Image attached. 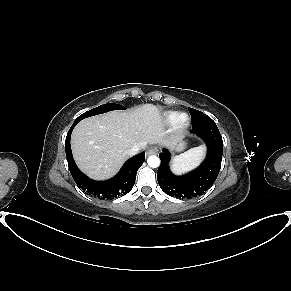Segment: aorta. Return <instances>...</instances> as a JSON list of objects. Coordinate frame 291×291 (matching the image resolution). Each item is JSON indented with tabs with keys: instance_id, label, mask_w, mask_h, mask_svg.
Segmentation results:
<instances>
[{
	"instance_id": "762f6f07",
	"label": "aorta",
	"mask_w": 291,
	"mask_h": 291,
	"mask_svg": "<svg viewBox=\"0 0 291 291\" xmlns=\"http://www.w3.org/2000/svg\"><path fill=\"white\" fill-rule=\"evenodd\" d=\"M148 165L152 168H156L160 165L159 157L152 155L147 159Z\"/></svg>"
}]
</instances>
